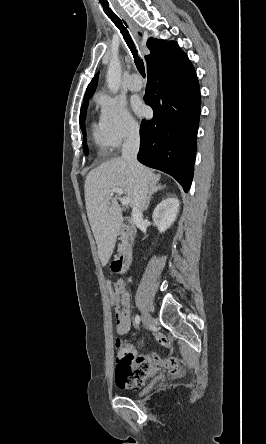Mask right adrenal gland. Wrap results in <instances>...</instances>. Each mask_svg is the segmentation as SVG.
Masks as SVG:
<instances>
[{
  "mask_svg": "<svg viewBox=\"0 0 266 444\" xmlns=\"http://www.w3.org/2000/svg\"><path fill=\"white\" fill-rule=\"evenodd\" d=\"M165 187H166L165 185H164V186H162V185H158V186H155L154 188H152V189L150 190V192H149V196H148V200H147L146 206H145V208H144V211H146V210L149 208V205H150V201H151L152 195H154V193H156V192H158V191L164 189Z\"/></svg>",
  "mask_w": 266,
  "mask_h": 444,
  "instance_id": "2a0ac1e0",
  "label": "right adrenal gland"
}]
</instances>
